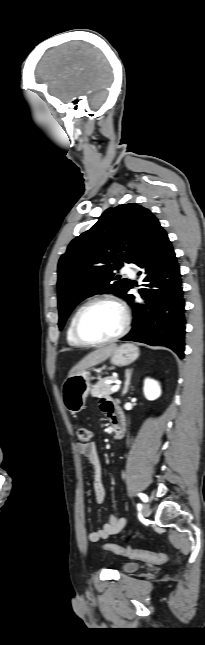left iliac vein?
<instances>
[{
	"label": "left iliac vein",
	"mask_w": 205,
	"mask_h": 645,
	"mask_svg": "<svg viewBox=\"0 0 205 645\" xmlns=\"http://www.w3.org/2000/svg\"><path fill=\"white\" fill-rule=\"evenodd\" d=\"M142 514L144 517L148 516L150 514V506L148 503L143 504L142 506Z\"/></svg>",
	"instance_id": "1"
}]
</instances>
